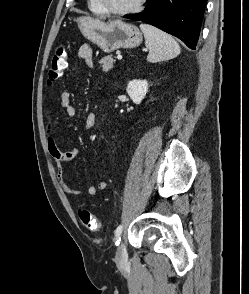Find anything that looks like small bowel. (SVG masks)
<instances>
[{
    "mask_svg": "<svg viewBox=\"0 0 249 294\" xmlns=\"http://www.w3.org/2000/svg\"><path fill=\"white\" fill-rule=\"evenodd\" d=\"M78 57L82 59L88 66L92 65L93 60V49L88 44H83L78 49ZM60 104L63 109H65L66 114L69 117H75L77 115V109L71 102V96L68 90H63L60 94ZM96 117L94 113H89L84 119L83 128L89 130L95 125ZM47 134V147L48 152L55 162L57 168V178L61 190L70 197H78L82 194V190L78 188L71 187L64 178L63 165L65 162L74 160L78 155V149L76 147H71L68 149H63L58 143L56 137L54 136L53 123L48 117V122L46 126ZM108 186L107 181H100L94 185L88 187L89 195H96L101 191L105 190Z\"/></svg>",
    "mask_w": 249,
    "mask_h": 294,
    "instance_id": "c3829d8e",
    "label": "small bowel"
}]
</instances>
